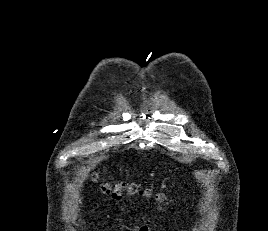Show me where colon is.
<instances>
[{"mask_svg": "<svg viewBox=\"0 0 268 231\" xmlns=\"http://www.w3.org/2000/svg\"><path fill=\"white\" fill-rule=\"evenodd\" d=\"M94 180L101 184L103 191L116 200H125L130 197H151L152 192L148 188H142L134 183H125L115 181L106 176L103 172L98 171L93 176ZM154 198L159 202H165L167 197L161 193H156Z\"/></svg>", "mask_w": 268, "mask_h": 231, "instance_id": "1", "label": "colon"}]
</instances>
